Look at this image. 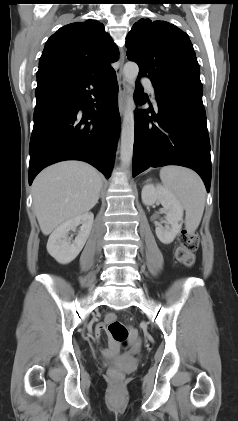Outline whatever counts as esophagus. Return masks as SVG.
Returning <instances> with one entry per match:
<instances>
[{"label": "esophagus", "instance_id": "1", "mask_svg": "<svg viewBox=\"0 0 238 421\" xmlns=\"http://www.w3.org/2000/svg\"><path fill=\"white\" fill-rule=\"evenodd\" d=\"M125 53L124 50H120V58H119V68L117 70V80L119 85V93H118V108L120 115H123L126 107V93H127V84L125 77L123 75V65H124Z\"/></svg>", "mask_w": 238, "mask_h": 421}]
</instances>
